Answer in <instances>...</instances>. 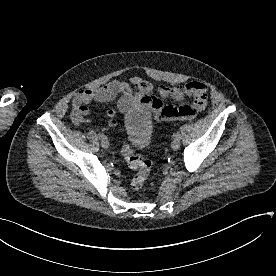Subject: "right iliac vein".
I'll return each instance as SVG.
<instances>
[{
    "instance_id": "63e3f726",
    "label": "right iliac vein",
    "mask_w": 276,
    "mask_h": 276,
    "mask_svg": "<svg viewBox=\"0 0 276 276\" xmlns=\"http://www.w3.org/2000/svg\"><path fill=\"white\" fill-rule=\"evenodd\" d=\"M101 146L104 149H107L109 147V142H108L107 138L106 139H101Z\"/></svg>"
}]
</instances>
